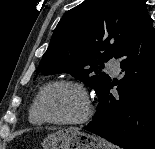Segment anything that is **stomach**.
I'll use <instances>...</instances> for the list:
<instances>
[{"mask_svg": "<svg viewBox=\"0 0 155 149\" xmlns=\"http://www.w3.org/2000/svg\"><path fill=\"white\" fill-rule=\"evenodd\" d=\"M43 149H111L103 139L73 128L61 129L48 135Z\"/></svg>", "mask_w": 155, "mask_h": 149, "instance_id": "stomach-1", "label": "stomach"}]
</instances>
